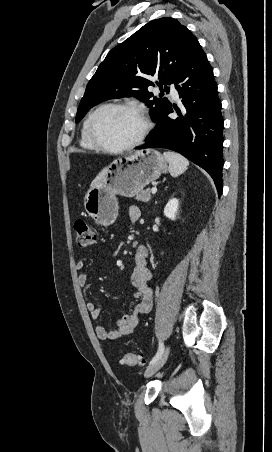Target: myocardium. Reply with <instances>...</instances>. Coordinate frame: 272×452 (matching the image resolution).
I'll use <instances>...</instances> for the list:
<instances>
[{
    "label": "myocardium",
    "instance_id": "f54148a6",
    "mask_svg": "<svg viewBox=\"0 0 272 452\" xmlns=\"http://www.w3.org/2000/svg\"><path fill=\"white\" fill-rule=\"evenodd\" d=\"M108 109L126 110V111L133 113L135 116H137L140 119L141 124H142L141 130H140L138 136L132 142H130L126 145H123V146L114 147V146H110V145L106 144L98 137V135L95 132V127H94L95 121L102 112H104ZM149 130H150V122H149L148 117L145 115V113L139 107L132 105V104H128V103L103 104L90 114V116L87 120V124H86L87 136H88L89 140L91 141V143L97 149H100V150H103V151H106L109 153H123V152H127V151H130V150L136 148L145 140L146 136L149 133Z\"/></svg>",
    "mask_w": 272,
    "mask_h": 452
}]
</instances>
